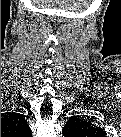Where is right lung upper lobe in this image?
<instances>
[{"mask_svg":"<svg viewBox=\"0 0 121 137\" xmlns=\"http://www.w3.org/2000/svg\"><path fill=\"white\" fill-rule=\"evenodd\" d=\"M29 131L30 130L25 119L22 115L18 113L12 112L7 115H4V117L1 118V134H20L24 132L27 133Z\"/></svg>","mask_w":121,"mask_h":137,"instance_id":"1","label":"right lung upper lobe"}]
</instances>
